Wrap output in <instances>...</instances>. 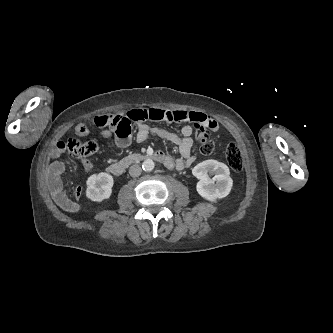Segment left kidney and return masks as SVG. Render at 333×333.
<instances>
[{
	"label": "left kidney",
	"instance_id": "5707ae66",
	"mask_svg": "<svg viewBox=\"0 0 333 333\" xmlns=\"http://www.w3.org/2000/svg\"><path fill=\"white\" fill-rule=\"evenodd\" d=\"M192 173L199 179L196 186L197 192L206 200L222 199L231 191L233 180L230 177L229 168L224 163L216 160H205L197 164ZM208 173L215 175L213 179L208 177Z\"/></svg>",
	"mask_w": 333,
	"mask_h": 333
}]
</instances>
